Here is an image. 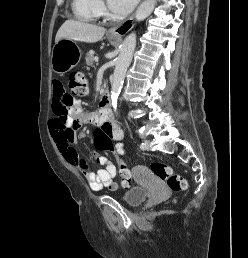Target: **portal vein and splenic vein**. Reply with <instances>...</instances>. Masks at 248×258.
<instances>
[{
  "label": "portal vein and splenic vein",
  "mask_w": 248,
  "mask_h": 258,
  "mask_svg": "<svg viewBox=\"0 0 248 258\" xmlns=\"http://www.w3.org/2000/svg\"><path fill=\"white\" fill-rule=\"evenodd\" d=\"M94 60H95V62L98 64L99 58H98V57H95Z\"/></svg>",
  "instance_id": "portal-vein-and-splenic-vein-1"
}]
</instances>
